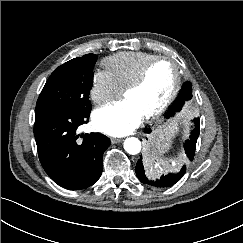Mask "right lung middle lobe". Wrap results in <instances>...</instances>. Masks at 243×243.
Here are the masks:
<instances>
[{
	"instance_id": "right-lung-middle-lobe-1",
	"label": "right lung middle lobe",
	"mask_w": 243,
	"mask_h": 243,
	"mask_svg": "<svg viewBox=\"0 0 243 243\" xmlns=\"http://www.w3.org/2000/svg\"><path fill=\"white\" fill-rule=\"evenodd\" d=\"M96 60L95 54H87L55 69L39 95L36 108H55L75 113L91 111L89 92Z\"/></svg>"
}]
</instances>
